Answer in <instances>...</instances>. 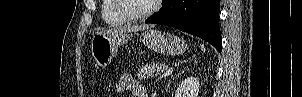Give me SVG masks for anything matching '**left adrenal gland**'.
Listing matches in <instances>:
<instances>
[{"label": "left adrenal gland", "instance_id": "a2214340", "mask_svg": "<svg viewBox=\"0 0 302 97\" xmlns=\"http://www.w3.org/2000/svg\"><path fill=\"white\" fill-rule=\"evenodd\" d=\"M189 60H190V59H189ZM178 75H179V74H178ZM175 77H177V76H175ZM173 79H174V77H173ZM173 79H172V80H173ZM172 80L169 82L168 87H169L170 83L172 82Z\"/></svg>", "mask_w": 302, "mask_h": 97}]
</instances>
